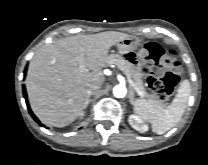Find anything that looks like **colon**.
Returning <instances> with one entry per match:
<instances>
[{
	"label": "colon",
	"mask_w": 208,
	"mask_h": 165,
	"mask_svg": "<svg viewBox=\"0 0 208 165\" xmlns=\"http://www.w3.org/2000/svg\"><path fill=\"white\" fill-rule=\"evenodd\" d=\"M142 71L148 84L160 98L169 97L179 82L181 66L174 50H164L156 43L146 44L140 51Z\"/></svg>",
	"instance_id": "1"
}]
</instances>
